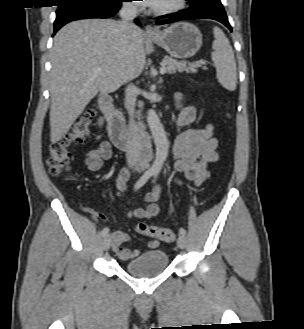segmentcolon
I'll list each match as a JSON object with an SVG mask.
<instances>
[{
	"label": "colon",
	"instance_id": "1",
	"mask_svg": "<svg viewBox=\"0 0 304 329\" xmlns=\"http://www.w3.org/2000/svg\"><path fill=\"white\" fill-rule=\"evenodd\" d=\"M95 116V108L88 107L81 113L70 130L50 145L48 166L51 175L59 176L69 170L73 147L84 141L90 131ZM134 228L141 235L164 242H173L176 237L173 229L150 225L145 222L135 223Z\"/></svg>",
	"mask_w": 304,
	"mask_h": 329
}]
</instances>
